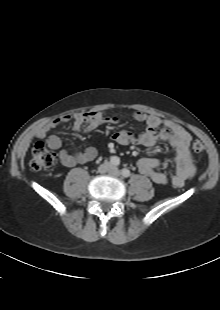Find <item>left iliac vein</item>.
<instances>
[{
	"label": "left iliac vein",
	"instance_id": "1",
	"mask_svg": "<svg viewBox=\"0 0 220 310\" xmlns=\"http://www.w3.org/2000/svg\"><path fill=\"white\" fill-rule=\"evenodd\" d=\"M110 174L113 175V176L118 177V176H120V171L116 167H111Z\"/></svg>",
	"mask_w": 220,
	"mask_h": 310
}]
</instances>
